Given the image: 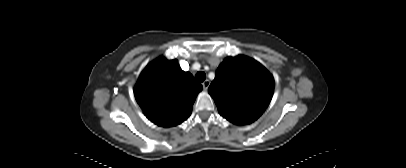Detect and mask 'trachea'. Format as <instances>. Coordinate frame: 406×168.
Instances as JSON below:
<instances>
[{
	"mask_svg": "<svg viewBox=\"0 0 406 168\" xmlns=\"http://www.w3.org/2000/svg\"><path fill=\"white\" fill-rule=\"evenodd\" d=\"M195 79L198 82H203L206 79V74L203 71H199L195 75Z\"/></svg>",
	"mask_w": 406,
	"mask_h": 168,
	"instance_id": "3493384b",
	"label": "trachea"
}]
</instances>
